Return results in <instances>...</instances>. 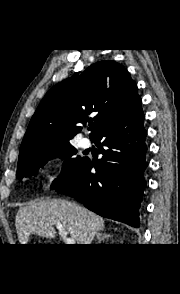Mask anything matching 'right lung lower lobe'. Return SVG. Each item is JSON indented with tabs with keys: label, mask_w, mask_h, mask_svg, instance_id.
Segmentation results:
<instances>
[{
	"label": "right lung lower lobe",
	"mask_w": 180,
	"mask_h": 294,
	"mask_svg": "<svg viewBox=\"0 0 180 294\" xmlns=\"http://www.w3.org/2000/svg\"><path fill=\"white\" fill-rule=\"evenodd\" d=\"M142 100L107 123L93 138L102 159H87L78 172L56 189L76 198L89 210L106 218L139 227V207L146 186L147 167ZM102 141V143H100ZM95 168L96 173H91Z\"/></svg>",
	"instance_id": "obj_1"
}]
</instances>
